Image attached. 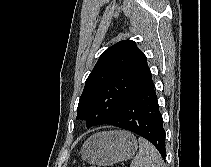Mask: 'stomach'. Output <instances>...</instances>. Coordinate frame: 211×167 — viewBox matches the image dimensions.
<instances>
[{
	"label": "stomach",
	"mask_w": 211,
	"mask_h": 167,
	"mask_svg": "<svg viewBox=\"0 0 211 167\" xmlns=\"http://www.w3.org/2000/svg\"><path fill=\"white\" fill-rule=\"evenodd\" d=\"M137 150L135 136L126 131L100 132L92 135L81 148L84 161L111 166L129 160Z\"/></svg>",
	"instance_id": "stomach-1"
}]
</instances>
